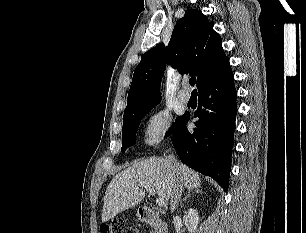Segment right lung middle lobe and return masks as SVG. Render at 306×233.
I'll return each mask as SVG.
<instances>
[{
  "label": "right lung middle lobe",
  "mask_w": 306,
  "mask_h": 233,
  "mask_svg": "<svg viewBox=\"0 0 306 233\" xmlns=\"http://www.w3.org/2000/svg\"><path fill=\"white\" fill-rule=\"evenodd\" d=\"M154 106H156V104L151 105L149 107H146L135 113H132L130 115L123 117V129H122L123 142H122V148H121L122 152H124L131 145L135 144V139H136L135 136H136V132L140 124V121L146 115V113L151 111V109ZM181 117L182 116L177 118L175 125H173V128L168 132L169 134L173 133L176 130L177 125L181 120Z\"/></svg>",
  "instance_id": "right-lung-middle-lobe-1"
}]
</instances>
